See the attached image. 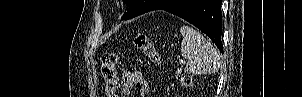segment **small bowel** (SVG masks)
Here are the masks:
<instances>
[{"mask_svg":"<svg viewBox=\"0 0 302 97\" xmlns=\"http://www.w3.org/2000/svg\"><path fill=\"white\" fill-rule=\"evenodd\" d=\"M135 89L138 97H147L148 84L140 71L125 70L121 78V97H131V91Z\"/></svg>","mask_w":302,"mask_h":97,"instance_id":"obj_1","label":"small bowel"}]
</instances>
